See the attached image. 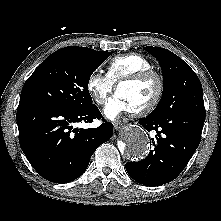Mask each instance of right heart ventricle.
<instances>
[{"label": "right heart ventricle", "instance_id": "right-heart-ventricle-1", "mask_svg": "<svg viewBox=\"0 0 221 221\" xmlns=\"http://www.w3.org/2000/svg\"><path fill=\"white\" fill-rule=\"evenodd\" d=\"M145 70H153V64L141 54L128 53L111 59L107 66V75L115 84L125 77Z\"/></svg>", "mask_w": 221, "mask_h": 221}]
</instances>
